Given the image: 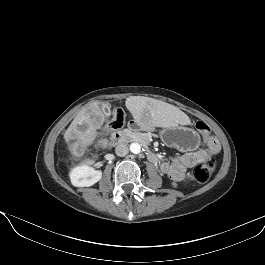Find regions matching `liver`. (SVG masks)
I'll return each instance as SVG.
<instances>
[{"instance_id":"1","label":"liver","mask_w":265,"mask_h":265,"mask_svg":"<svg viewBox=\"0 0 265 265\" xmlns=\"http://www.w3.org/2000/svg\"><path fill=\"white\" fill-rule=\"evenodd\" d=\"M99 104V101H95L85 105L64 134L66 141L75 140L68 144V149L74 157L83 155L85 149L95 140L97 130L102 128L105 117ZM125 106L137 124L145 128H166L191 124L190 118L179 108L157 99L130 96L126 99ZM102 145L106 147L107 140H103Z\"/></svg>"}]
</instances>
